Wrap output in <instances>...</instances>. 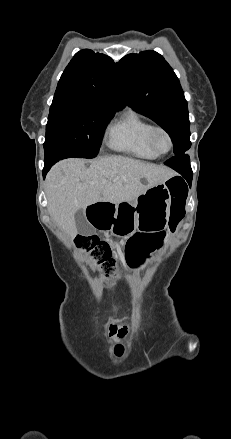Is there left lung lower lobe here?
Instances as JSON below:
<instances>
[{
  "mask_svg": "<svg viewBox=\"0 0 231 439\" xmlns=\"http://www.w3.org/2000/svg\"><path fill=\"white\" fill-rule=\"evenodd\" d=\"M165 164L180 173L187 180V182L191 184L193 173L190 167V159L188 155L183 154L174 156L167 160Z\"/></svg>",
  "mask_w": 231,
  "mask_h": 439,
  "instance_id": "0a47b994",
  "label": "left lung lower lobe"
}]
</instances>
